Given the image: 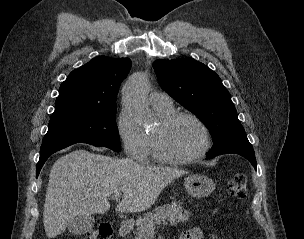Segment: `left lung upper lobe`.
Instances as JSON below:
<instances>
[{
  "label": "left lung upper lobe",
  "mask_w": 304,
  "mask_h": 239,
  "mask_svg": "<svg viewBox=\"0 0 304 239\" xmlns=\"http://www.w3.org/2000/svg\"><path fill=\"white\" fill-rule=\"evenodd\" d=\"M153 67L161 88L208 127L214 147L208 155L254 154L219 76L191 58L156 60Z\"/></svg>",
  "instance_id": "obj_1"
}]
</instances>
